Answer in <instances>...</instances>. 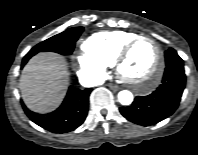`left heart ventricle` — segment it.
I'll return each mask as SVG.
<instances>
[{
  "mask_svg": "<svg viewBox=\"0 0 198 155\" xmlns=\"http://www.w3.org/2000/svg\"><path fill=\"white\" fill-rule=\"evenodd\" d=\"M156 60V50L150 41L138 42L121 65L125 76L135 81L146 79Z\"/></svg>",
  "mask_w": 198,
  "mask_h": 155,
  "instance_id": "left-heart-ventricle-1",
  "label": "left heart ventricle"
}]
</instances>
